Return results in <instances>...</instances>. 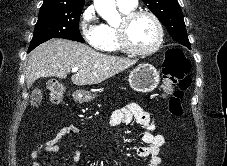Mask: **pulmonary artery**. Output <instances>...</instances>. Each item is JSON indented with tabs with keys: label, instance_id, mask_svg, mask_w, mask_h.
<instances>
[{
	"label": "pulmonary artery",
	"instance_id": "obj_1",
	"mask_svg": "<svg viewBox=\"0 0 227 166\" xmlns=\"http://www.w3.org/2000/svg\"><path fill=\"white\" fill-rule=\"evenodd\" d=\"M137 1L138 0H116L118 5L128 9L136 7Z\"/></svg>",
	"mask_w": 227,
	"mask_h": 166
}]
</instances>
